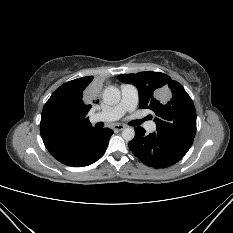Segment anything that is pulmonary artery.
<instances>
[{
  "label": "pulmonary artery",
  "instance_id": "obj_1",
  "mask_svg": "<svg viewBox=\"0 0 233 233\" xmlns=\"http://www.w3.org/2000/svg\"><path fill=\"white\" fill-rule=\"evenodd\" d=\"M139 95L138 90L131 84L121 86V100L115 106L95 114L92 121L112 122L120 119L125 113L135 111L138 105ZM147 130L154 131L156 128L155 122H149L146 125Z\"/></svg>",
  "mask_w": 233,
  "mask_h": 233
}]
</instances>
